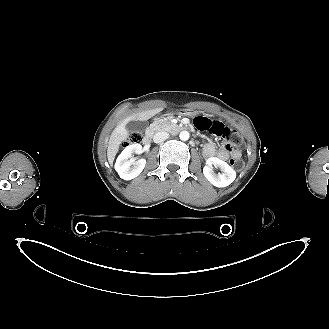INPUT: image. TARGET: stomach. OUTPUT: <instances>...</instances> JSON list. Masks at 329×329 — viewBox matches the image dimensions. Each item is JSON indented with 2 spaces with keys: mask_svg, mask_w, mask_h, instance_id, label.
Here are the masks:
<instances>
[{
  "mask_svg": "<svg viewBox=\"0 0 329 329\" xmlns=\"http://www.w3.org/2000/svg\"><path fill=\"white\" fill-rule=\"evenodd\" d=\"M172 114H173V113H171V112L168 113V115H172ZM185 114H186V115H193L194 112H193L192 110L186 109V110H185Z\"/></svg>",
  "mask_w": 329,
  "mask_h": 329,
  "instance_id": "0dacf381",
  "label": "stomach"
}]
</instances>
